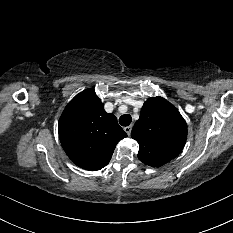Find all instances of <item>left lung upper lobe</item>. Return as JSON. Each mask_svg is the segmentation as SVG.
<instances>
[{
  "label": "left lung upper lobe",
  "instance_id": "5c2ea615",
  "mask_svg": "<svg viewBox=\"0 0 233 233\" xmlns=\"http://www.w3.org/2000/svg\"><path fill=\"white\" fill-rule=\"evenodd\" d=\"M131 137L139 143V160L146 165L160 167L183 150L187 125L179 111L167 100L149 98L141 109Z\"/></svg>",
  "mask_w": 233,
  "mask_h": 233
}]
</instances>
